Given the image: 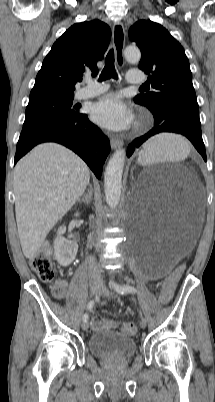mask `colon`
Listing matches in <instances>:
<instances>
[{
    "label": "colon",
    "mask_w": 215,
    "mask_h": 402,
    "mask_svg": "<svg viewBox=\"0 0 215 402\" xmlns=\"http://www.w3.org/2000/svg\"><path fill=\"white\" fill-rule=\"evenodd\" d=\"M31 267L39 278L44 282H51L54 278V270L49 256V250L43 249L31 260ZM183 266L178 267L170 277L162 284V289L159 290V297L162 302H167L173 296L175 283L181 276ZM56 296L62 294L61 290L56 287L54 290ZM112 326V322L101 318H96L92 321L93 330H101ZM122 330L128 335H135L137 326L133 322H125L122 324Z\"/></svg>",
    "instance_id": "colon-1"
}]
</instances>
